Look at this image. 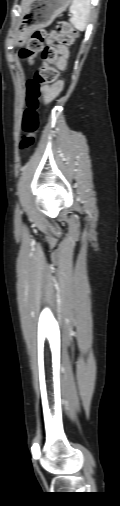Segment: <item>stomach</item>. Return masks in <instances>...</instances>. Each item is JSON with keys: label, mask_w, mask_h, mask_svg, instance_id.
Masks as SVG:
<instances>
[{"label": "stomach", "mask_w": 120, "mask_h": 506, "mask_svg": "<svg viewBox=\"0 0 120 506\" xmlns=\"http://www.w3.org/2000/svg\"><path fill=\"white\" fill-rule=\"evenodd\" d=\"M71 0H32L26 8L22 22L15 32L17 46H24L32 30L48 26L67 9Z\"/></svg>", "instance_id": "1"}]
</instances>
